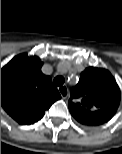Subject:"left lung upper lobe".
Listing matches in <instances>:
<instances>
[{
	"instance_id": "1",
	"label": "left lung upper lobe",
	"mask_w": 122,
	"mask_h": 154,
	"mask_svg": "<svg viewBox=\"0 0 122 154\" xmlns=\"http://www.w3.org/2000/svg\"><path fill=\"white\" fill-rule=\"evenodd\" d=\"M120 89L111 73L102 68L88 67L71 91L68 106L73 117L83 125L95 124L103 111L116 112Z\"/></svg>"
}]
</instances>
